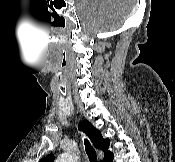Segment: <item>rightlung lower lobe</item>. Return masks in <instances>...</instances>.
<instances>
[{"label": "right lung lower lobe", "mask_w": 175, "mask_h": 162, "mask_svg": "<svg viewBox=\"0 0 175 162\" xmlns=\"http://www.w3.org/2000/svg\"><path fill=\"white\" fill-rule=\"evenodd\" d=\"M113 154L106 160V162H112V160H113Z\"/></svg>", "instance_id": "1"}]
</instances>
